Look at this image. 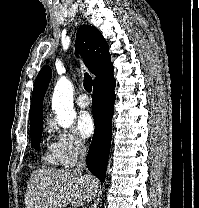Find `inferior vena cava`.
Listing matches in <instances>:
<instances>
[{
	"mask_svg": "<svg viewBox=\"0 0 199 208\" xmlns=\"http://www.w3.org/2000/svg\"><path fill=\"white\" fill-rule=\"evenodd\" d=\"M86 147L83 142H79L78 144V153H79V158H78V163H77V172H82L84 169H86Z\"/></svg>",
	"mask_w": 199,
	"mask_h": 208,
	"instance_id": "602c4592",
	"label": "inferior vena cava"
}]
</instances>
